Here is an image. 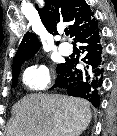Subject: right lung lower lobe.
Returning <instances> with one entry per match:
<instances>
[{
    "label": "right lung lower lobe",
    "mask_w": 117,
    "mask_h": 136,
    "mask_svg": "<svg viewBox=\"0 0 117 136\" xmlns=\"http://www.w3.org/2000/svg\"><path fill=\"white\" fill-rule=\"evenodd\" d=\"M76 41L82 44L80 49L85 53V69L76 68L78 59L66 60L57 70L54 87L63 88L68 95L85 98L95 107H99V91L105 74V61L97 20L85 28Z\"/></svg>",
    "instance_id": "right-lung-lower-lobe-1"
}]
</instances>
